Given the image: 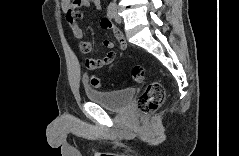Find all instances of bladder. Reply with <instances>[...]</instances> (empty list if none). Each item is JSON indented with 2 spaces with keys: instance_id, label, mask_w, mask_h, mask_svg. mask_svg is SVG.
Returning a JSON list of instances; mask_svg holds the SVG:
<instances>
[{
  "instance_id": "31cf9c89",
  "label": "bladder",
  "mask_w": 239,
  "mask_h": 156,
  "mask_svg": "<svg viewBox=\"0 0 239 156\" xmlns=\"http://www.w3.org/2000/svg\"><path fill=\"white\" fill-rule=\"evenodd\" d=\"M134 94L135 90L132 88L117 91L86 90L89 101L114 112L123 111L132 101Z\"/></svg>"
}]
</instances>
